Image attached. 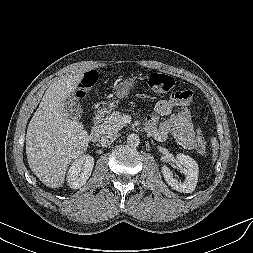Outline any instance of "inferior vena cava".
Here are the masks:
<instances>
[{
    "label": "inferior vena cava",
    "instance_id": "inferior-vena-cava-1",
    "mask_svg": "<svg viewBox=\"0 0 253 253\" xmlns=\"http://www.w3.org/2000/svg\"><path fill=\"white\" fill-rule=\"evenodd\" d=\"M118 134H108L100 138L99 142L101 145H109L116 140Z\"/></svg>",
    "mask_w": 253,
    "mask_h": 253
}]
</instances>
